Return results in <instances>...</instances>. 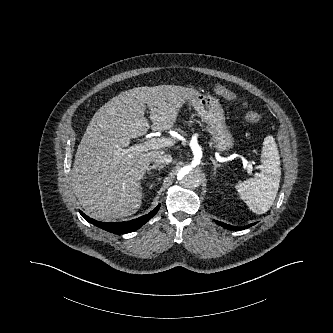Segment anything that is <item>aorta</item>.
<instances>
[{
  "label": "aorta",
  "mask_w": 333,
  "mask_h": 333,
  "mask_svg": "<svg viewBox=\"0 0 333 333\" xmlns=\"http://www.w3.org/2000/svg\"><path fill=\"white\" fill-rule=\"evenodd\" d=\"M177 178L187 188H196L202 182L200 171L190 165L181 168L177 174Z\"/></svg>",
  "instance_id": "762f6f07"
}]
</instances>
